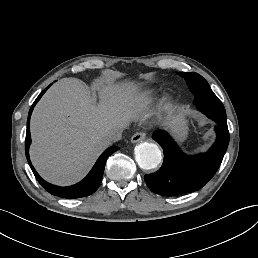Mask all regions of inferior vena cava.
Segmentation results:
<instances>
[{
	"label": "inferior vena cava",
	"instance_id": "inferior-vena-cava-1",
	"mask_svg": "<svg viewBox=\"0 0 258 258\" xmlns=\"http://www.w3.org/2000/svg\"><path fill=\"white\" fill-rule=\"evenodd\" d=\"M121 130L112 129L107 133V140L110 142H117L121 139Z\"/></svg>",
	"mask_w": 258,
	"mask_h": 258
}]
</instances>
